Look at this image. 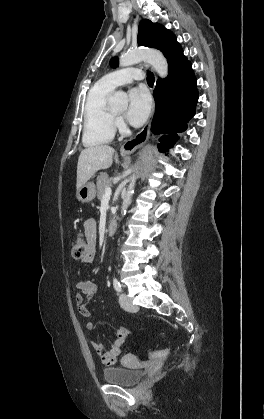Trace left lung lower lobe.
<instances>
[{
	"instance_id": "left-lung-lower-lobe-1",
	"label": "left lung lower lobe",
	"mask_w": 264,
	"mask_h": 419,
	"mask_svg": "<svg viewBox=\"0 0 264 419\" xmlns=\"http://www.w3.org/2000/svg\"><path fill=\"white\" fill-rule=\"evenodd\" d=\"M168 61V76L158 79L154 90L156 101L152 131L163 134L159 151L166 152L177 141L176 132H183L195 114L198 91L192 64L175 41L169 51L163 52Z\"/></svg>"
}]
</instances>
